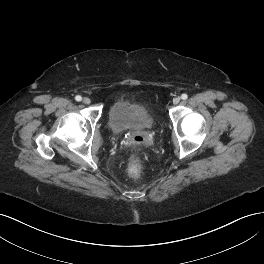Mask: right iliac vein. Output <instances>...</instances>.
I'll return each instance as SVG.
<instances>
[{"mask_svg": "<svg viewBox=\"0 0 264 264\" xmlns=\"http://www.w3.org/2000/svg\"><path fill=\"white\" fill-rule=\"evenodd\" d=\"M82 102H83L84 104H90V103H91V100H90L88 97H84V98L82 99Z\"/></svg>", "mask_w": 264, "mask_h": 264, "instance_id": "63e3f726", "label": "right iliac vein"}]
</instances>
